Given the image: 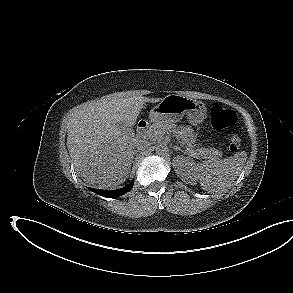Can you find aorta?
I'll return each instance as SVG.
<instances>
[{
	"instance_id": "obj_1",
	"label": "aorta",
	"mask_w": 293,
	"mask_h": 293,
	"mask_svg": "<svg viewBox=\"0 0 293 293\" xmlns=\"http://www.w3.org/2000/svg\"><path fill=\"white\" fill-rule=\"evenodd\" d=\"M155 150L156 153L161 156H164L168 153V147L164 144H159Z\"/></svg>"
}]
</instances>
